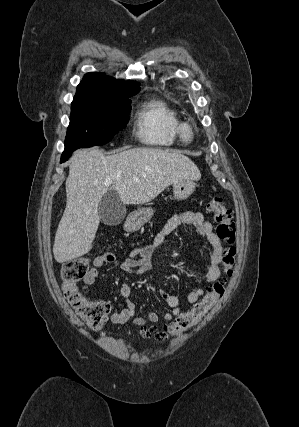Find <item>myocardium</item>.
I'll use <instances>...</instances> for the list:
<instances>
[{
  "label": "myocardium",
  "instance_id": "myocardium-1",
  "mask_svg": "<svg viewBox=\"0 0 299 427\" xmlns=\"http://www.w3.org/2000/svg\"><path fill=\"white\" fill-rule=\"evenodd\" d=\"M177 135L182 142H191L195 136V129L193 124L190 122H180L177 126Z\"/></svg>",
  "mask_w": 299,
  "mask_h": 427
}]
</instances>
